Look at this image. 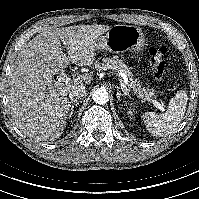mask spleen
Masks as SVG:
<instances>
[{"instance_id":"1","label":"spleen","mask_w":199,"mask_h":199,"mask_svg":"<svg viewBox=\"0 0 199 199\" xmlns=\"http://www.w3.org/2000/svg\"><path fill=\"white\" fill-rule=\"evenodd\" d=\"M187 94L179 91L171 98L165 113L146 112L141 117L153 136L163 137L173 133L181 123L187 105Z\"/></svg>"}]
</instances>
